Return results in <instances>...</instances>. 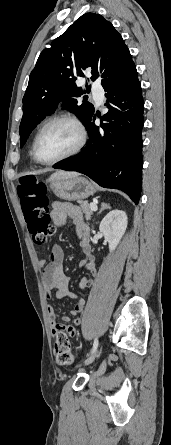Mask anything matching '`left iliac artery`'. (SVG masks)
Masks as SVG:
<instances>
[{"instance_id": "left-iliac-artery-1", "label": "left iliac artery", "mask_w": 171, "mask_h": 445, "mask_svg": "<svg viewBox=\"0 0 171 445\" xmlns=\"http://www.w3.org/2000/svg\"><path fill=\"white\" fill-rule=\"evenodd\" d=\"M97 347H98V339L95 338L90 354L94 353L97 350Z\"/></svg>"}]
</instances>
